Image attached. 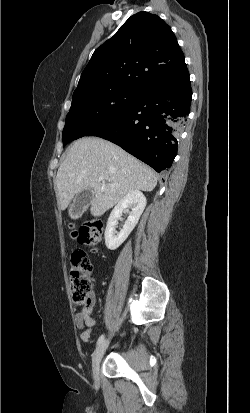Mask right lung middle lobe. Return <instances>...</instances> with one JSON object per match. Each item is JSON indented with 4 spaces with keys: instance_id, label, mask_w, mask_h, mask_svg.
I'll list each match as a JSON object with an SVG mask.
<instances>
[{
    "instance_id": "dd1d6c3e",
    "label": "right lung middle lobe",
    "mask_w": 250,
    "mask_h": 413,
    "mask_svg": "<svg viewBox=\"0 0 250 413\" xmlns=\"http://www.w3.org/2000/svg\"><path fill=\"white\" fill-rule=\"evenodd\" d=\"M139 93L140 90L131 87L88 89L74 93L62 133L63 146L116 117Z\"/></svg>"
}]
</instances>
